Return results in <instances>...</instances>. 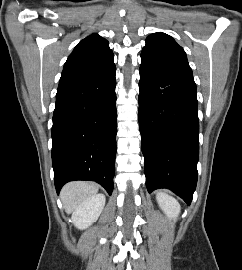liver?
<instances>
[{
    "label": "liver",
    "instance_id": "6515ba94",
    "mask_svg": "<svg viewBox=\"0 0 242 270\" xmlns=\"http://www.w3.org/2000/svg\"><path fill=\"white\" fill-rule=\"evenodd\" d=\"M98 185L89 182H71L61 191V199L66 213L74 212L86 199L95 195Z\"/></svg>",
    "mask_w": 242,
    "mask_h": 270
}]
</instances>
